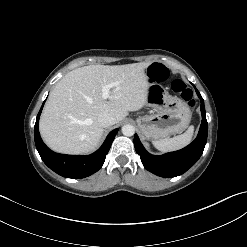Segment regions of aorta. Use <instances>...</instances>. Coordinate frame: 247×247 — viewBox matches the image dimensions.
I'll return each mask as SVG.
<instances>
[{"mask_svg": "<svg viewBox=\"0 0 247 247\" xmlns=\"http://www.w3.org/2000/svg\"><path fill=\"white\" fill-rule=\"evenodd\" d=\"M122 133L125 136H133L135 133V129L132 125L127 124L122 127Z\"/></svg>", "mask_w": 247, "mask_h": 247, "instance_id": "1", "label": "aorta"}]
</instances>
